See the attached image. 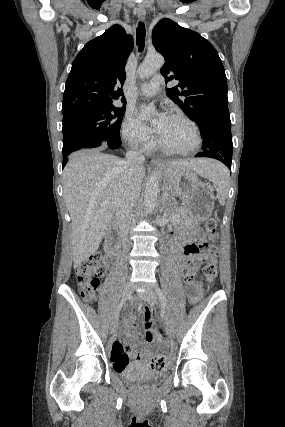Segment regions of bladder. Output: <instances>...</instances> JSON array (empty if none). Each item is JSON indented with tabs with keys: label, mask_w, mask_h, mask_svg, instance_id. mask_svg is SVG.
Here are the masks:
<instances>
[{
	"label": "bladder",
	"mask_w": 285,
	"mask_h": 427,
	"mask_svg": "<svg viewBox=\"0 0 285 427\" xmlns=\"http://www.w3.org/2000/svg\"><path fill=\"white\" fill-rule=\"evenodd\" d=\"M115 374L127 383L140 387L149 383L161 382L166 378V372H153L140 363H130Z\"/></svg>",
	"instance_id": "1"
}]
</instances>
